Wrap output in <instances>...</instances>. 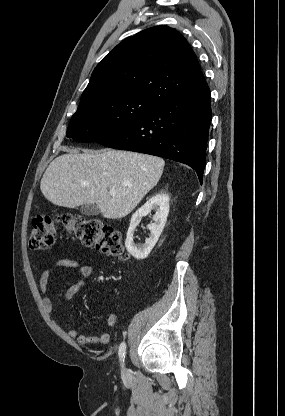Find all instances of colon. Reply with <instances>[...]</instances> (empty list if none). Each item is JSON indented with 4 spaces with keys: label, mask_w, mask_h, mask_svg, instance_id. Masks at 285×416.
Wrapping results in <instances>:
<instances>
[{
    "label": "colon",
    "mask_w": 285,
    "mask_h": 416,
    "mask_svg": "<svg viewBox=\"0 0 285 416\" xmlns=\"http://www.w3.org/2000/svg\"><path fill=\"white\" fill-rule=\"evenodd\" d=\"M59 225L83 245L95 247L107 256L123 257L124 246L119 231L99 219L74 215L35 218L29 235V248L35 252L49 249L56 240Z\"/></svg>",
    "instance_id": "colon-1"
}]
</instances>
